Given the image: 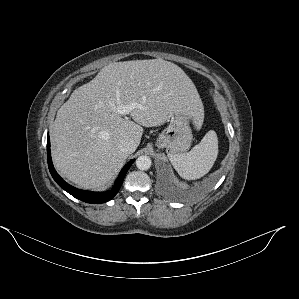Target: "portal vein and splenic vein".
Masks as SVG:
<instances>
[{
  "label": "portal vein and splenic vein",
  "mask_w": 299,
  "mask_h": 299,
  "mask_svg": "<svg viewBox=\"0 0 299 299\" xmlns=\"http://www.w3.org/2000/svg\"><path fill=\"white\" fill-rule=\"evenodd\" d=\"M135 107H137V104L136 103H130V104H127V105H118L117 106V111L120 113V114H128L130 111H132Z\"/></svg>",
  "instance_id": "1"
}]
</instances>
